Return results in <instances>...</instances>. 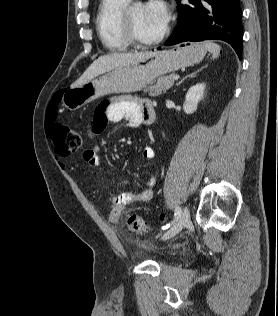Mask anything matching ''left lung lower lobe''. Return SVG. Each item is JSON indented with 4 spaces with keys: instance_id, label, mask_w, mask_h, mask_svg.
Returning a JSON list of instances; mask_svg holds the SVG:
<instances>
[{
    "instance_id": "left-lung-lower-lobe-1",
    "label": "left lung lower lobe",
    "mask_w": 278,
    "mask_h": 316,
    "mask_svg": "<svg viewBox=\"0 0 278 316\" xmlns=\"http://www.w3.org/2000/svg\"><path fill=\"white\" fill-rule=\"evenodd\" d=\"M189 2L192 5H178V25L164 45L209 39L223 40L233 47L241 59L243 29L239 0Z\"/></svg>"
}]
</instances>
